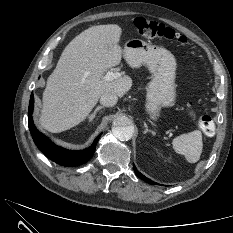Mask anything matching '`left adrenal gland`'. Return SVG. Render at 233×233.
Here are the masks:
<instances>
[{"label": "left adrenal gland", "mask_w": 233, "mask_h": 233, "mask_svg": "<svg viewBox=\"0 0 233 233\" xmlns=\"http://www.w3.org/2000/svg\"><path fill=\"white\" fill-rule=\"evenodd\" d=\"M143 123H144V128H145V130L143 131V134L151 133L153 136H155L156 132L153 131V130L148 129V126H147L146 122H143Z\"/></svg>", "instance_id": "1"}]
</instances>
